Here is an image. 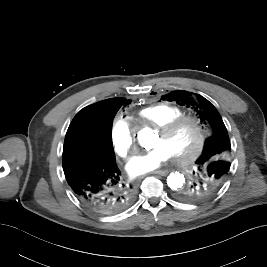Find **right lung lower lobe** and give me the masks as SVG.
<instances>
[{"instance_id":"1","label":"right lung lower lobe","mask_w":267,"mask_h":267,"mask_svg":"<svg viewBox=\"0 0 267 267\" xmlns=\"http://www.w3.org/2000/svg\"><path fill=\"white\" fill-rule=\"evenodd\" d=\"M99 136L96 128L79 125L64 141L63 162L67 160L73 165L64 174L75 195L87 207L101 214H117L132 204L136 191L124 180L115 159L76 162Z\"/></svg>"}]
</instances>
